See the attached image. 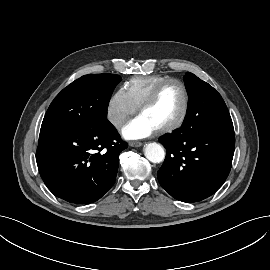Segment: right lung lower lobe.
Listing matches in <instances>:
<instances>
[{
  "label": "right lung lower lobe",
  "instance_id": "obj_1",
  "mask_svg": "<svg viewBox=\"0 0 270 270\" xmlns=\"http://www.w3.org/2000/svg\"><path fill=\"white\" fill-rule=\"evenodd\" d=\"M126 148L110 122L85 129L44 128L36 161L41 178L56 197L89 204L113 185L119 153Z\"/></svg>",
  "mask_w": 270,
  "mask_h": 270
}]
</instances>
